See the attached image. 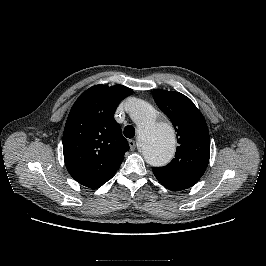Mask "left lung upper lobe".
I'll use <instances>...</instances> for the list:
<instances>
[{"label": "left lung upper lobe", "instance_id": "1", "mask_svg": "<svg viewBox=\"0 0 266 266\" xmlns=\"http://www.w3.org/2000/svg\"><path fill=\"white\" fill-rule=\"evenodd\" d=\"M153 98L177 132L175 158L164 167H153L159 182L170 190H184L199 181L210 157L207 124L194 103L185 95L156 89Z\"/></svg>", "mask_w": 266, "mask_h": 266}]
</instances>
